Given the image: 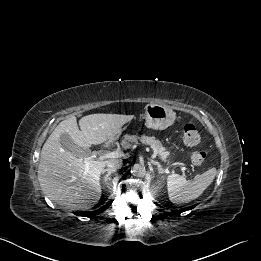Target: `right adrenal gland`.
<instances>
[{"instance_id":"obj_1","label":"right adrenal gland","mask_w":261,"mask_h":261,"mask_svg":"<svg viewBox=\"0 0 261 261\" xmlns=\"http://www.w3.org/2000/svg\"><path fill=\"white\" fill-rule=\"evenodd\" d=\"M104 173H106V175L104 176L103 184L106 185L108 183V181L110 180V175H111L112 172L110 170H108V169H104L102 171V174H104Z\"/></svg>"}]
</instances>
